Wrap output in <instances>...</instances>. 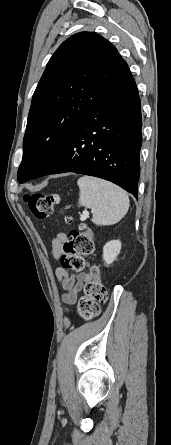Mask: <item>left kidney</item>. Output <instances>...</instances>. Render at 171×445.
<instances>
[{"label":"left kidney","mask_w":171,"mask_h":445,"mask_svg":"<svg viewBox=\"0 0 171 445\" xmlns=\"http://www.w3.org/2000/svg\"><path fill=\"white\" fill-rule=\"evenodd\" d=\"M121 250V242L119 240H111L103 247V259L107 265L111 264Z\"/></svg>","instance_id":"left-kidney-1"}]
</instances>
